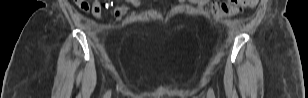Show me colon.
I'll return each mask as SVG.
<instances>
[{
  "instance_id": "1",
  "label": "colon",
  "mask_w": 308,
  "mask_h": 98,
  "mask_svg": "<svg viewBox=\"0 0 308 98\" xmlns=\"http://www.w3.org/2000/svg\"><path fill=\"white\" fill-rule=\"evenodd\" d=\"M76 3L83 10L87 9L89 1L88 0H76ZM257 0H228L223 2H209V12L216 18L222 16H233L240 12L242 7H247L256 4ZM122 12L120 10L116 11L117 15ZM139 12L137 10H132V15H137ZM143 13V12H142ZM145 13V12H144Z\"/></svg>"
}]
</instances>
